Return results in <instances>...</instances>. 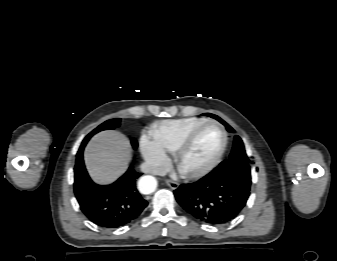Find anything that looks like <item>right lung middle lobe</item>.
Here are the masks:
<instances>
[{"label": "right lung middle lobe", "mask_w": 337, "mask_h": 261, "mask_svg": "<svg viewBox=\"0 0 337 261\" xmlns=\"http://www.w3.org/2000/svg\"><path fill=\"white\" fill-rule=\"evenodd\" d=\"M120 118H115L111 120H107L106 122L102 123L100 126H98L96 129H94L91 133H89L83 140L82 146L84 147L89 139L96 133L107 130V129H115L120 125ZM133 148L137 147V141L135 139H132L131 141Z\"/></svg>", "instance_id": "right-lung-middle-lobe-1"}]
</instances>
